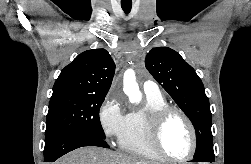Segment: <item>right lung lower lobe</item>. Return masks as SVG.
<instances>
[{
	"instance_id": "right-lung-lower-lobe-1",
	"label": "right lung lower lobe",
	"mask_w": 251,
	"mask_h": 164,
	"mask_svg": "<svg viewBox=\"0 0 251 164\" xmlns=\"http://www.w3.org/2000/svg\"><path fill=\"white\" fill-rule=\"evenodd\" d=\"M84 146L109 148L105 139L80 132H59L45 138L44 161L54 162L64 154Z\"/></svg>"
}]
</instances>
